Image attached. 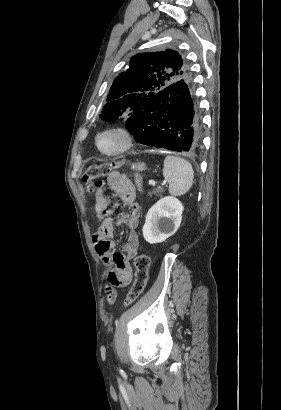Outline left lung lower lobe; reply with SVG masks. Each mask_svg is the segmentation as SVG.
I'll return each instance as SVG.
<instances>
[{"label": "left lung lower lobe", "mask_w": 281, "mask_h": 410, "mask_svg": "<svg viewBox=\"0 0 281 410\" xmlns=\"http://www.w3.org/2000/svg\"><path fill=\"white\" fill-rule=\"evenodd\" d=\"M127 129L143 145L194 152L202 140V125L190 79L177 81L150 98L142 112L131 115Z\"/></svg>", "instance_id": "0a47b994"}]
</instances>
